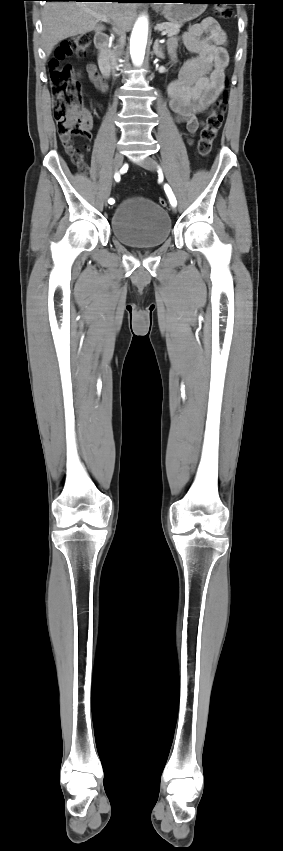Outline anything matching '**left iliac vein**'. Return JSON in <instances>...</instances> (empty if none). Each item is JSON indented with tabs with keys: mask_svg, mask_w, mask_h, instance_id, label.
<instances>
[{
	"mask_svg": "<svg viewBox=\"0 0 283 851\" xmlns=\"http://www.w3.org/2000/svg\"><path fill=\"white\" fill-rule=\"evenodd\" d=\"M139 164H140V166H142L143 168H145V169H147V170H150V171H155V170L157 169V164H156V162H155L152 158H150V157H146V158H144L143 160H141V161L139 162ZM172 211H173V212H176V208H175V206H173V207H172Z\"/></svg>",
	"mask_w": 283,
	"mask_h": 851,
	"instance_id": "left-iliac-vein-1",
	"label": "left iliac vein"
}]
</instances>
